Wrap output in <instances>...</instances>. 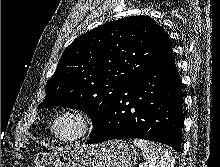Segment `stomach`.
<instances>
[{"instance_id":"obj_1","label":"stomach","mask_w":220,"mask_h":167,"mask_svg":"<svg viewBox=\"0 0 220 167\" xmlns=\"http://www.w3.org/2000/svg\"><path fill=\"white\" fill-rule=\"evenodd\" d=\"M137 153L124 140L88 147H69L54 154L37 155L33 167H135Z\"/></svg>"}]
</instances>
